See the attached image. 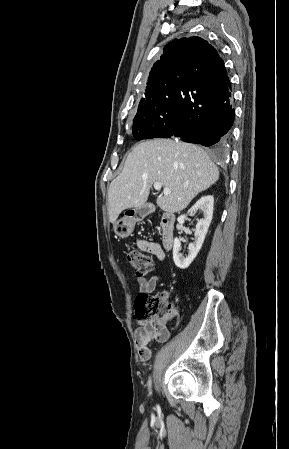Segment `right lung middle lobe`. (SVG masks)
I'll return each instance as SVG.
<instances>
[{
	"label": "right lung middle lobe",
	"mask_w": 289,
	"mask_h": 449,
	"mask_svg": "<svg viewBox=\"0 0 289 449\" xmlns=\"http://www.w3.org/2000/svg\"><path fill=\"white\" fill-rule=\"evenodd\" d=\"M176 91L167 90L142 98L133 120V136L136 140L151 138L163 127L170 125L177 116Z\"/></svg>",
	"instance_id": "dd1d6c3e"
}]
</instances>
